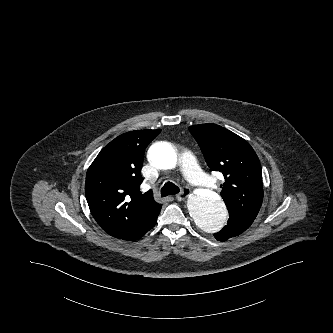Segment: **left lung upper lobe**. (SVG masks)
Returning <instances> with one entry per match:
<instances>
[{
  "label": "left lung upper lobe",
  "instance_id": "1",
  "mask_svg": "<svg viewBox=\"0 0 333 333\" xmlns=\"http://www.w3.org/2000/svg\"><path fill=\"white\" fill-rule=\"evenodd\" d=\"M211 170L224 175L221 197L229 214L255 220L262 201V171L250 144L216 124L189 127Z\"/></svg>",
  "mask_w": 333,
  "mask_h": 333
}]
</instances>
